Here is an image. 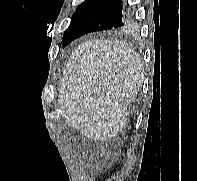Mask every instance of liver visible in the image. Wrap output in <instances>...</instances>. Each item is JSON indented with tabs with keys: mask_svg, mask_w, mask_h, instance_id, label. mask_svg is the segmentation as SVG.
I'll return each instance as SVG.
<instances>
[{
	"mask_svg": "<svg viewBox=\"0 0 197 181\" xmlns=\"http://www.w3.org/2000/svg\"><path fill=\"white\" fill-rule=\"evenodd\" d=\"M143 81L141 58L126 43L89 39L63 69L58 101L63 118L88 138L109 140L125 126L126 106Z\"/></svg>",
	"mask_w": 197,
	"mask_h": 181,
	"instance_id": "6515ba94",
	"label": "liver"
}]
</instances>
